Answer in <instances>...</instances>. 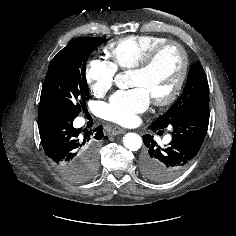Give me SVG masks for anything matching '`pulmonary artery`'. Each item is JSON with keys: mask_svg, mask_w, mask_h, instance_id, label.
Wrapping results in <instances>:
<instances>
[{"mask_svg": "<svg viewBox=\"0 0 236 236\" xmlns=\"http://www.w3.org/2000/svg\"><path fill=\"white\" fill-rule=\"evenodd\" d=\"M170 139H171V138H170L169 136L166 137V141H167V142L170 141Z\"/></svg>", "mask_w": 236, "mask_h": 236, "instance_id": "1", "label": "pulmonary artery"}]
</instances>
